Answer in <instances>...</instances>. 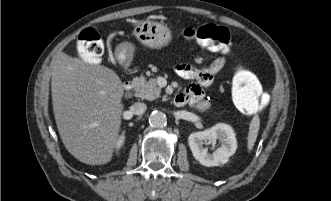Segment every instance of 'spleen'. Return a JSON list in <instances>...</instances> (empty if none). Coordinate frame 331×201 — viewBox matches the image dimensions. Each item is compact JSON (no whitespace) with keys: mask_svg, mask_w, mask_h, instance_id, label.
<instances>
[{"mask_svg":"<svg viewBox=\"0 0 331 201\" xmlns=\"http://www.w3.org/2000/svg\"><path fill=\"white\" fill-rule=\"evenodd\" d=\"M259 126H260L259 116L255 115L252 118L250 126H249V133H248V137H247L248 151H251L254 147V144H255L257 136H258Z\"/></svg>","mask_w":331,"mask_h":201,"instance_id":"3e777b00","label":"spleen"}]
</instances>
